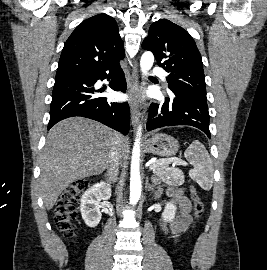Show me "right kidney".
<instances>
[{
    "mask_svg": "<svg viewBox=\"0 0 267 270\" xmlns=\"http://www.w3.org/2000/svg\"><path fill=\"white\" fill-rule=\"evenodd\" d=\"M111 197L110 184L104 181L94 184L87 189L81 197L80 212L85 224L96 227L101 220V200H108Z\"/></svg>",
    "mask_w": 267,
    "mask_h": 270,
    "instance_id": "ca27d5eb",
    "label": "right kidney"
}]
</instances>
